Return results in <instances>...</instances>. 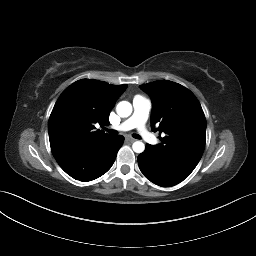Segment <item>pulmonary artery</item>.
<instances>
[{"label":"pulmonary artery","mask_w":256,"mask_h":256,"mask_svg":"<svg viewBox=\"0 0 256 256\" xmlns=\"http://www.w3.org/2000/svg\"><path fill=\"white\" fill-rule=\"evenodd\" d=\"M151 101L142 96H136L133 99V113L132 115L115 126L114 128L119 131H129L137 129L140 136L150 144H157L158 139L154 134L146 128V122L148 120L151 111Z\"/></svg>","instance_id":"obj_1"}]
</instances>
